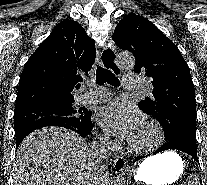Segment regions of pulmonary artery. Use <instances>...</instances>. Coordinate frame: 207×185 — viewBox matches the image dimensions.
I'll use <instances>...</instances> for the list:
<instances>
[{"instance_id": "e3ab8cb5", "label": "pulmonary artery", "mask_w": 207, "mask_h": 185, "mask_svg": "<svg viewBox=\"0 0 207 185\" xmlns=\"http://www.w3.org/2000/svg\"><path fill=\"white\" fill-rule=\"evenodd\" d=\"M122 82H126L127 91H140L139 77H122ZM112 95L111 90L89 91L83 96V102L101 103L110 99Z\"/></svg>"}]
</instances>
